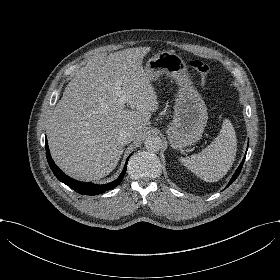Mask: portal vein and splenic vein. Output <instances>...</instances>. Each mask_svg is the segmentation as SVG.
<instances>
[{
	"mask_svg": "<svg viewBox=\"0 0 280 280\" xmlns=\"http://www.w3.org/2000/svg\"><path fill=\"white\" fill-rule=\"evenodd\" d=\"M124 104H125V103L122 101V105H123V106H124Z\"/></svg>",
	"mask_w": 280,
	"mask_h": 280,
	"instance_id": "1",
	"label": "portal vein and splenic vein"
}]
</instances>
